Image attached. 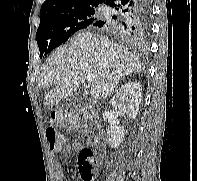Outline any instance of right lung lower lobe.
I'll list each match as a JSON object with an SVG mask.
<instances>
[{
    "instance_id": "98d812e1",
    "label": "right lung lower lobe",
    "mask_w": 197,
    "mask_h": 181,
    "mask_svg": "<svg viewBox=\"0 0 197 181\" xmlns=\"http://www.w3.org/2000/svg\"><path fill=\"white\" fill-rule=\"evenodd\" d=\"M105 4L116 9L118 14L98 20L92 26L116 32L128 39L140 37L149 26L151 0H108Z\"/></svg>"
}]
</instances>
